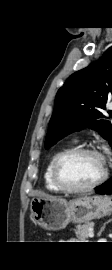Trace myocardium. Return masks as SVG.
Returning <instances> with one entry per match:
<instances>
[{
	"instance_id": "f54148a6",
	"label": "myocardium",
	"mask_w": 112,
	"mask_h": 270,
	"mask_svg": "<svg viewBox=\"0 0 112 270\" xmlns=\"http://www.w3.org/2000/svg\"><path fill=\"white\" fill-rule=\"evenodd\" d=\"M80 154L98 155L99 157L102 158L104 167H103V171L100 177L93 183L86 186H72L68 184L63 178L62 165H63V162L69 157L80 155ZM107 177H108V168L105 164L104 158L96 149L91 148V147H73V148L65 149L57 155V157L55 158L53 162V167H52L53 181L55 185L62 192H65V193H84V192L91 191L99 187L101 184H103L105 180L107 179Z\"/></svg>"
}]
</instances>
